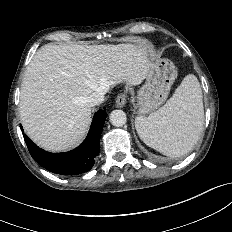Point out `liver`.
<instances>
[{
    "label": "liver",
    "mask_w": 232,
    "mask_h": 232,
    "mask_svg": "<svg viewBox=\"0 0 232 232\" xmlns=\"http://www.w3.org/2000/svg\"><path fill=\"white\" fill-rule=\"evenodd\" d=\"M144 43L48 44L27 67L20 118L26 134L48 151H64L85 135L91 120L87 98L125 82L139 85L152 64Z\"/></svg>",
    "instance_id": "6515ba94"
}]
</instances>
